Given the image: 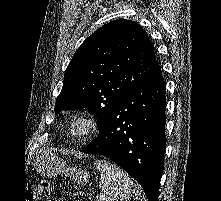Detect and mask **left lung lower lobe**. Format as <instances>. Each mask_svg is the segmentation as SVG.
Here are the masks:
<instances>
[{"mask_svg":"<svg viewBox=\"0 0 221 201\" xmlns=\"http://www.w3.org/2000/svg\"><path fill=\"white\" fill-rule=\"evenodd\" d=\"M165 84L158 67L112 111L97 138L82 152L105 155L158 200L165 148Z\"/></svg>","mask_w":221,"mask_h":201,"instance_id":"0a47b994","label":"left lung lower lobe"}]
</instances>
